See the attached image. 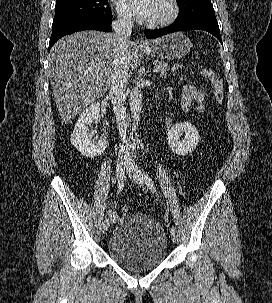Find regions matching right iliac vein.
<instances>
[{"label":"right iliac vein","mask_w":272,"mask_h":303,"mask_svg":"<svg viewBox=\"0 0 272 303\" xmlns=\"http://www.w3.org/2000/svg\"><path fill=\"white\" fill-rule=\"evenodd\" d=\"M125 166H126V160L124 158L120 157L116 164V176L118 179L120 177H122ZM108 228H109V221H106L103 223V226H102L103 233H106L108 231Z\"/></svg>","instance_id":"63e3f726"}]
</instances>
